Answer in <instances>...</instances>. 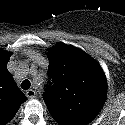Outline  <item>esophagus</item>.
<instances>
[{"instance_id":"34e87169","label":"esophagus","mask_w":125,"mask_h":125,"mask_svg":"<svg viewBox=\"0 0 125 125\" xmlns=\"http://www.w3.org/2000/svg\"><path fill=\"white\" fill-rule=\"evenodd\" d=\"M36 94H37L36 91L33 90V89H29V90L26 91V96H27L28 98H30V99L35 98V97H36Z\"/></svg>"}]
</instances>
